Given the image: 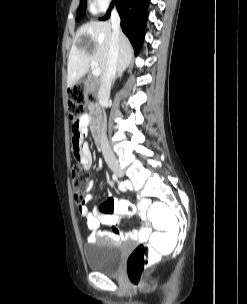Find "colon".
I'll return each instance as SVG.
<instances>
[{
	"mask_svg": "<svg viewBox=\"0 0 247 304\" xmlns=\"http://www.w3.org/2000/svg\"><path fill=\"white\" fill-rule=\"evenodd\" d=\"M87 102L95 103L96 98L92 94H87L82 85L78 84L68 90V113L73 122H78L84 115ZM71 179L75 201L80 205L84 201L89 185V174L82 165H74ZM148 211L154 230L151 243L136 246L127 261V275L134 286L141 284L144 269L156 258V253H173L181 225L180 220H177V214H172L166 202H151ZM134 212L133 205L114 199H108L99 208V215H131Z\"/></svg>",
	"mask_w": 247,
	"mask_h": 304,
	"instance_id": "colon-1",
	"label": "colon"
}]
</instances>
